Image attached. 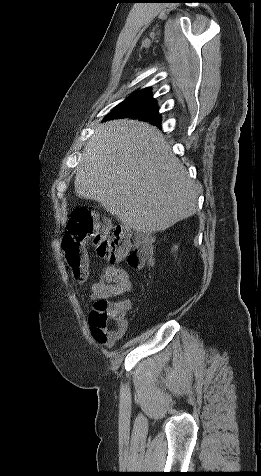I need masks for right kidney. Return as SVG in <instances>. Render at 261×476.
Here are the masks:
<instances>
[{
  "label": "right kidney",
  "instance_id": "right-kidney-1",
  "mask_svg": "<svg viewBox=\"0 0 261 476\" xmlns=\"http://www.w3.org/2000/svg\"><path fill=\"white\" fill-rule=\"evenodd\" d=\"M177 250V246H174L172 251H176Z\"/></svg>",
  "mask_w": 261,
  "mask_h": 476
}]
</instances>
